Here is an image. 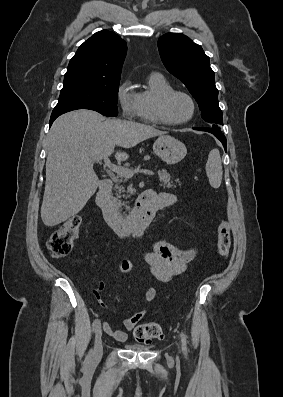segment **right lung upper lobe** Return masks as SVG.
I'll list each match as a JSON object with an SVG mask.
<instances>
[{
  "label": "right lung upper lobe",
  "instance_id": "right-lung-upper-lobe-1",
  "mask_svg": "<svg viewBox=\"0 0 283 397\" xmlns=\"http://www.w3.org/2000/svg\"><path fill=\"white\" fill-rule=\"evenodd\" d=\"M127 44L114 32L102 30L86 40L71 58L66 74L78 73L105 79H118Z\"/></svg>",
  "mask_w": 283,
  "mask_h": 397
}]
</instances>
